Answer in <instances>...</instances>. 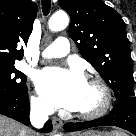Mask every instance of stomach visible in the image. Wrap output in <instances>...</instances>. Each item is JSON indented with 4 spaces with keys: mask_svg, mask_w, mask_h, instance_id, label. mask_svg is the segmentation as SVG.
<instances>
[{
    "mask_svg": "<svg viewBox=\"0 0 136 136\" xmlns=\"http://www.w3.org/2000/svg\"><path fill=\"white\" fill-rule=\"evenodd\" d=\"M79 136H108V135H106L103 132L91 130V131H86V132H84L83 134H81Z\"/></svg>",
    "mask_w": 136,
    "mask_h": 136,
    "instance_id": "obj_1",
    "label": "stomach"
}]
</instances>
